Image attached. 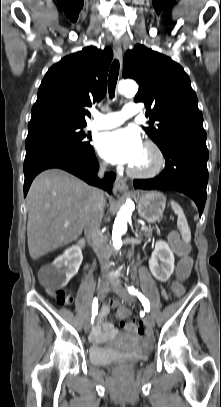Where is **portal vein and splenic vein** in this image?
I'll list each match as a JSON object with an SVG mask.
<instances>
[{
    "label": "portal vein and splenic vein",
    "instance_id": "portal-vein-and-splenic-vein-1",
    "mask_svg": "<svg viewBox=\"0 0 221 407\" xmlns=\"http://www.w3.org/2000/svg\"><path fill=\"white\" fill-rule=\"evenodd\" d=\"M64 225H65V226H68V225H69V223H68V222H66ZM146 229H147V227H146V226H144V225L141 227V230H146Z\"/></svg>",
    "mask_w": 221,
    "mask_h": 407
}]
</instances>
